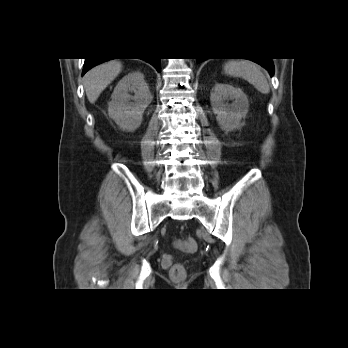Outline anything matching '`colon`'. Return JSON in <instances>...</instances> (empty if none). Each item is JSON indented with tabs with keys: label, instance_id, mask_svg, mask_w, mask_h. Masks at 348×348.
<instances>
[{
	"label": "colon",
	"instance_id": "colon-1",
	"mask_svg": "<svg viewBox=\"0 0 348 348\" xmlns=\"http://www.w3.org/2000/svg\"><path fill=\"white\" fill-rule=\"evenodd\" d=\"M177 248L184 252L192 253L197 249V244L192 238L178 239L175 242ZM171 275L173 277H179L184 275V267L182 264H176L171 269Z\"/></svg>",
	"mask_w": 348,
	"mask_h": 348
}]
</instances>
